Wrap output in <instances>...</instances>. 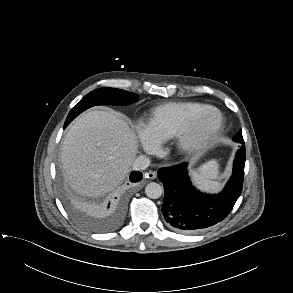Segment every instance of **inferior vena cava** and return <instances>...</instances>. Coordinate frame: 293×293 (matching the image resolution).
<instances>
[{
	"instance_id": "602c4592",
	"label": "inferior vena cava",
	"mask_w": 293,
	"mask_h": 293,
	"mask_svg": "<svg viewBox=\"0 0 293 293\" xmlns=\"http://www.w3.org/2000/svg\"><path fill=\"white\" fill-rule=\"evenodd\" d=\"M150 165V160L144 155L137 156L132 163V169L135 171L145 170Z\"/></svg>"
}]
</instances>
